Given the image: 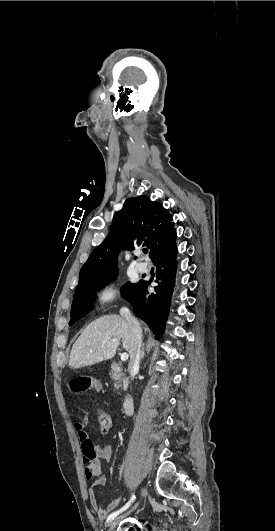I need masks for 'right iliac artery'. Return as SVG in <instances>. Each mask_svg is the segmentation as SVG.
I'll return each mask as SVG.
<instances>
[{
	"label": "right iliac artery",
	"instance_id": "82829eb1",
	"mask_svg": "<svg viewBox=\"0 0 275 531\" xmlns=\"http://www.w3.org/2000/svg\"><path fill=\"white\" fill-rule=\"evenodd\" d=\"M134 499H135V495H132L131 500H130L128 503H126L125 506H123L120 510L111 513V514L108 516V518H107V523L112 522V520H114V518H115L117 515H119V514H120L121 512H123L124 510H126V509L130 506L131 502H132Z\"/></svg>",
	"mask_w": 275,
	"mask_h": 531
}]
</instances>
